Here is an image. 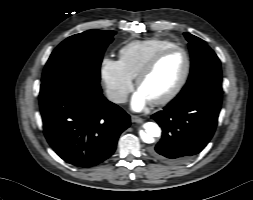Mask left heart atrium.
<instances>
[{
    "mask_svg": "<svg viewBox=\"0 0 253 200\" xmlns=\"http://www.w3.org/2000/svg\"><path fill=\"white\" fill-rule=\"evenodd\" d=\"M151 101L138 89L131 100V107L135 111L144 110Z\"/></svg>",
    "mask_w": 253,
    "mask_h": 200,
    "instance_id": "left-heart-atrium-1",
    "label": "left heart atrium"
}]
</instances>
